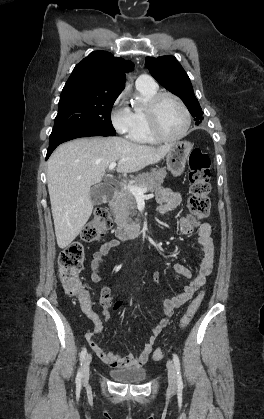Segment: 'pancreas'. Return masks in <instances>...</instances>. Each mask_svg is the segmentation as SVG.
Instances as JSON below:
<instances>
[{"label":"pancreas","mask_w":264,"mask_h":419,"mask_svg":"<svg viewBox=\"0 0 264 419\" xmlns=\"http://www.w3.org/2000/svg\"><path fill=\"white\" fill-rule=\"evenodd\" d=\"M167 175L165 169H152L150 172L142 173L136 176L131 185L139 188L147 189L154 192L161 188L162 183ZM137 202L135 196L123 187L119 193V197L115 201L112 211L118 224L124 225L132 222V218L137 214Z\"/></svg>","instance_id":"cf45deb5"}]
</instances>
